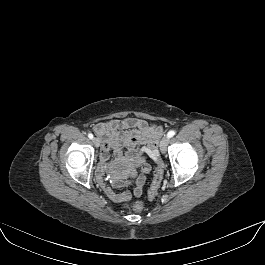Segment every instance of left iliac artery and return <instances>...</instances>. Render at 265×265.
<instances>
[{
  "mask_svg": "<svg viewBox=\"0 0 265 265\" xmlns=\"http://www.w3.org/2000/svg\"><path fill=\"white\" fill-rule=\"evenodd\" d=\"M175 135V132L173 130H170L168 133H167V137L168 138H171Z\"/></svg>",
  "mask_w": 265,
  "mask_h": 265,
  "instance_id": "1",
  "label": "left iliac artery"
}]
</instances>
